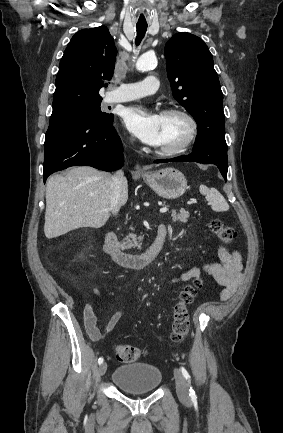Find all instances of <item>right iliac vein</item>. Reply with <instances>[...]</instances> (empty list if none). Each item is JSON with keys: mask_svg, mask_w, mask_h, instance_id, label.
I'll use <instances>...</instances> for the list:
<instances>
[{"mask_svg": "<svg viewBox=\"0 0 283 433\" xmlns=\"http://www.w3.org/2000/svg\"><path fill=\"white\" fill-rule=\"evenodd\" d=\"M107 370V364L105 362L101 363L100 367H99V372L100 375H104L106 373Z\"/></svg>", "mask_w": 283, "mask_h": 433, "instance_id": "63e3f726", "label": "right iliac vein"}]
</instances>
